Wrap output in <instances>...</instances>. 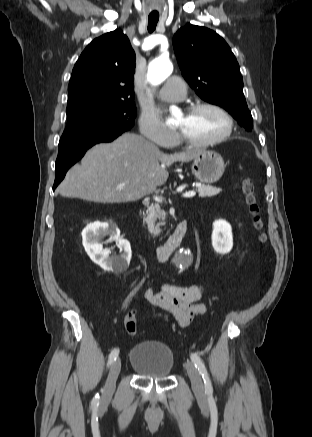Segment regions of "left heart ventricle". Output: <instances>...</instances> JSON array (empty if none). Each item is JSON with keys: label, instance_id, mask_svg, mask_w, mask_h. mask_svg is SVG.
<instances>
[{"label": "left heart ventricle", "instance_id": "obj_1", "mask_svg": "<svg viewBox=\"0 0 312 437\" xmlns=\"http://www.w3.org/2000/svg\"><path fill=\"white\" fill-rule=\"evenodd\" d=\"M176 126L188 138L205 141L220 135L226 127L225 119L216 111L203 109L177 118Z\"/></svg>", "mask_w": 312, "mask_h": 437}]
</instances>
